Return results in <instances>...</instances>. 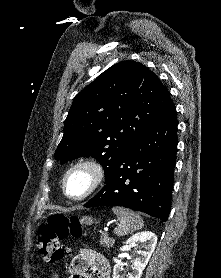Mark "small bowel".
<instances>
[{
    "label": "small bowel",
    "instance_id": "c3829d8e",
    "mask_svg": "<svg viewBox=\"0 0 221 278\" xmlns=\"http://www.w3.org/2000/svg\"><path fill=\"white\" fill-rule=\"evenodd\" d=\"M70 273V278H110V266L99 253L82 250L75 255Z\"/></svg>",
    "mask_w": 221,
    "mask_h": 278
}]
</instances>
